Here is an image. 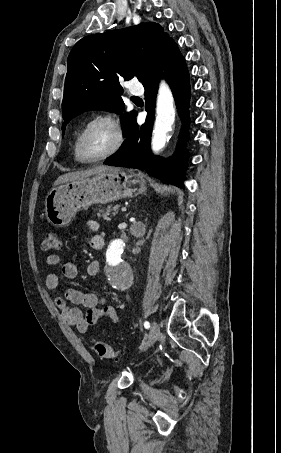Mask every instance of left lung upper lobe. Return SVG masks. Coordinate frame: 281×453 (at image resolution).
Returning <instances> with one entry per match:
<instances>
[{"label":"left lung upper lobe","instance_id":"5c2ea615","mask_svg":"<svg viewBox=\"0 0 281 453\" xmlns=\"http://www.w3.org/2000/svg\"><path fill=\"white\" fill-rule=\"evenodd\" d=\"M172 40L157 23H140L122 30L89 35L71 50L67 65L63 119L87 110H107L121 114L126 137L133 127L135 112L122 113L125 104L119 79L134 76L140 82L156 68ZM145 57V58H143ZM65 125L62 126V135Z\"/></svg>","mask_w":281,"mask_h":453}]
</instances>
